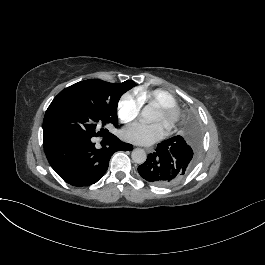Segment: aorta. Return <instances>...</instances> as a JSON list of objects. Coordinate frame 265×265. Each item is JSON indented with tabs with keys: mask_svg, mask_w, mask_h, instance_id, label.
I'll return each mask as SVG.
<instances>
[{
	"mask_svg": "<svg viewBox=\"0 0 265 265\" xmlns=\"http://www.w3.org/2000/svg\"><path fill=\"white\" fill-rule=\"evenodd\" d=\"M141 116L144 120H149L150 108L149 107L143 108L141 112ZM131 157H132V160L137 164H143L147 159L146 152L141 148L134 149L132 151Z\"/></svg>",
	"mask_w": 265,
	"mask_h": 265,
	"instance_id": "aorta-1",
	"label": "aorta"
}]
</instances>
